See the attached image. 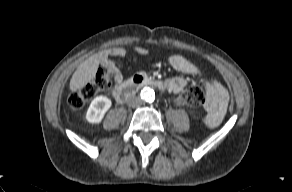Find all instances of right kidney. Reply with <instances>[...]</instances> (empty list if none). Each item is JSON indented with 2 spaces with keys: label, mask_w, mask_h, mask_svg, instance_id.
Returning <instances> with one entry per match:
<instances>
[{
  "label": "right kidney",
  "mask_w": 292,
  "mask_h": 192,
  "mask_svg": "<svg viewBox=\"0 0 292 192\" xmlns=\"http://www.w3.org/2000/svg\"><path fill=\"white\" fill-rule=\"evenodd\" d=\"M111 107V100L105 96H97L94 98L86 113V119L90 123H100Z\"/></svg>",
  "instance_id": "right-kidney-1"
}]
</instances>
